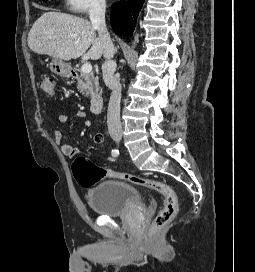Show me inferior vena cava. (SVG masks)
I'll list each match as a JSON object with an SVG mask.
<instances>
[{"mask_svg":"<svg viewBox=\"0 0 255 272\" xmlns=\"http://www.w3.org/2000/svg\"><path fill=\"white\" fill-rule=\"evenodd\" d=\"M106 2L100 0L95 3L90 10V21L93 27L98 31L99 39L103 46V55L105 62L102 65L103 80L109 89L112 90L107 113V124L110 135L122 134L120 121V101L121 84L119 79L114 76L116 71V62L112 60L115 49L105 24Z\"/></svg>","mask_w":255,"mask_h":272,"instance_id":"inferior-vena-cava-1","label":"inferior vena cava"}]
</instances>
